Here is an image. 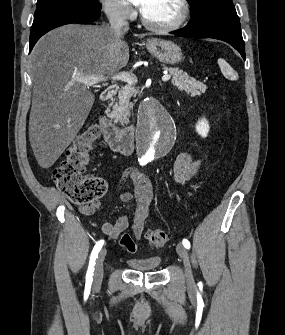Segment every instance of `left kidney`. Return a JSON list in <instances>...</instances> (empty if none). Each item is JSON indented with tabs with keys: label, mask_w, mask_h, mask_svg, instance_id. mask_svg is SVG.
<instances>
[{
	"label": "left kidney",
	"mask_w": 285,
	"mask_h": 335,
	"mask_svg": "<svg viewBox=\"0 0 285 335\" xmlns=\"http://www.w3.org/2000/svg\"><path fill=\"white\" fill-rule=\"evenodd\" d=\"M196 132H198L202 138L208 136L209 124L205 118H202V120H199L198 124H196Z\"/></svg>",
	"instance_id": "left-kidney-1"
}]
</instances>
